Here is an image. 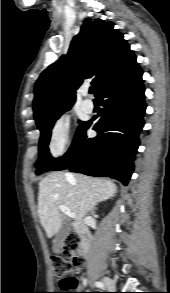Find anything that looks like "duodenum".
<instances>
[{
  "label": "duodenum",
  "instance_id": "1",
  "mask_svg": "<svg viewBox=\"0 0 170 293\" xmlns=\"http://www.w3.org/2000/svg\"><path fill=\"white\" fill-rule=\"evenodd\" d=\"M76 233L81 240V256L87 258L89 255V249L92 241L91 232L87 229H78L76 230Z\"/></svg>",
  "mask_w": 170,
  "mask_h": 293
}]
</instances>
